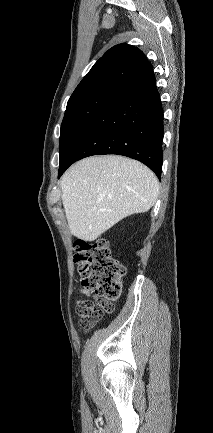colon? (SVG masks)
Instances as JSON below:
<instances>
[{"label":"colon","instance_id":"5ec220e1","mask_svg":"<svg viewBox=\"0 0 213 433\" xmlns=\"http://www.w3.org/2000/svg\"><path fill=\"white\" fill-rule=\"evenodd\" d=\"M74 248L82 286L98 297L78 309L81 324L90 327L113 311V303L122 293L125 267L112 255L105 238L92 242L77 240Z\"/></svg>","mask_w":213,"mask_h":433}]
</instances>
